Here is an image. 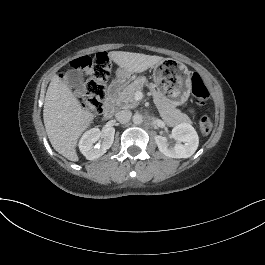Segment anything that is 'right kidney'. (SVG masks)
I'll list each match as a JSON object with an SVG mask.
<instances>
[{
    "mask_svg": "<svg viewBox=\"0 0 265 265\" xmlns=\"http://www.w3.org/2000/svg\"><path fill=\"white\" fill-rule=\"evenodd\" d=\"M115 128L108 127L103 130L91 129L87 131L80 140V150L89 160H96L103 156L112 146L114 142ZM104 138L105 141L97 143L99 139Z\"/></svg>",
    "mask_w": 265,
    "mask_h": 265,
    "instance_id": "1",
    "label": "right kidney"
}]
</instances>
